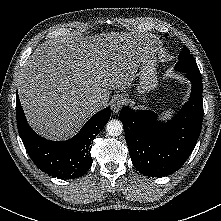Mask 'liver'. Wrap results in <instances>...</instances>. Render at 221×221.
<instances>
[{
    "instance_id": "liver-1",
    "label": "liver",
    "mask_w": 221,
    "mask_h": 221,
    "mask_svg": "<svg viewBox=\"0 0 221 221\" xmlns=\"http://www.w3.org/2000/svg\"><path fill=\"white\" fill-rule=\"evenodd\" d=\"M154 42L144 35L105 33L60 37L42 43L24 64L18 95L29 124L42 136L74 135L112 89H125L141 60L155 58ZM99 98L102 105H90Z\"/></svg>"
}]
</instances>
